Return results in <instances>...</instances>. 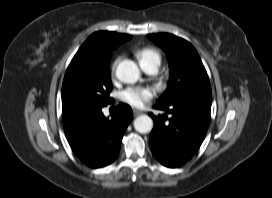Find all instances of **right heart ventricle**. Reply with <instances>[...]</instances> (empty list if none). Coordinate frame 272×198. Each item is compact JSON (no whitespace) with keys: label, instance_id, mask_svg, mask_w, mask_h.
I'll list each match as a JSON object with an SVG mask.
<instances>
[{"label":"right heart ventricle","instance_id":"e07e8e85","mask_svg":"<svg viewBox=\"0 0 272 198\" xmlns=\"http://www.w3.org/2000/svg\"><path fill=\"white\" fill-rule=\"evenodd\" d=\"M135 55L138 58L141 66L150 63H157L159 65L161 62L160 53L152 47L140 48L135 52Z\"/></svg>","mask_w":272,"mask_h":198}]
</instances>
